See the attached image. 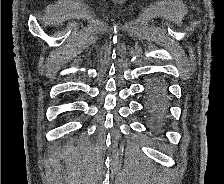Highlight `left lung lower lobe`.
Segmentation results:
<instances>
[{
  "label": "left lung lower lobe",
  "instance_id": "0a47b994",
  "mask_svg": "<svg viewBox=\"0 0 224 184\" xmlns=\"http://www.w3.org/2000/svg\"><path fill=\"white\" fill-rule=\"evenodd\" d=\"M167 90L162 79H155L148 86V112L155 124H159L167 115Z\"/></svg>",
  "mask_w": 224,
  "mask_h": 184
}]
</instances>
